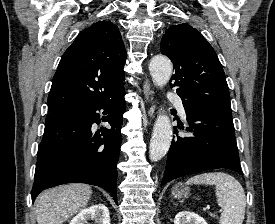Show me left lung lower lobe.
I'll use <instances>...</instances> for the list:
<instances>
[{
    "label": "left lung lower lobe",
    "mask_w": 275,
    "mask_h": 224,
    "mask_svg": "<svg viewBox=\"0 0 275 224\" xmlns=\"http://www.w3.org/2000/svg\"><path fill=\"white\" fill-rule=\"evenodd\" d=\"M191 135L172 140L161 184L204 170L240 167L232 116L191 108L183 102ZM179 129H184L178 126ZM174 133H177L174 127Z\"/></svg>",
    "instance_id": "0a47b994"
}]
</instances>
